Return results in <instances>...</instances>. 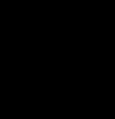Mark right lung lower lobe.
<instances>
[{"mask_svg":"<svg viewBox=\"0 0 115 119\" xmlns=\"http://www.w3.org/2000/svg\"><path fill=\"white\" fill-rule=\"evenodd\" d=\"M48 68L40 59L13 64L0 69V79L14 94L23 97H39L49 89Z\"/></svg>","mask_w":115,"mask_h":119,"instance_id":"98d812e1","label":"right lung lower lobe"}]
</instances>
